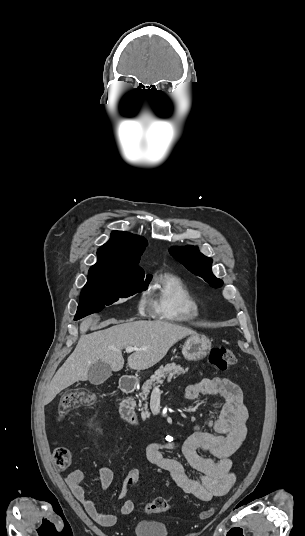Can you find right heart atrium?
<instances>
[{"instance_id": "1", "label": "right heart atrium", "mask_w": 305, "mask_h": 536, "mask_svg": "<svg viewBox=\"0 0 305 536\" xmlns=\"http://www.w3.org/2000/svg\"><path fill=\"white\" fill-rule=\"evenodd\" d=\"M138 309L140 311V313L142 314H145L146 313V298L144 295H142L140 298H139V301H138Z\"/></svg>"}]
</instances>
